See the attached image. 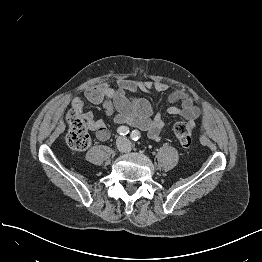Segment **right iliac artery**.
Segmentation results:
<instances>
[{"label":"right iliac artery","mask_w":262,"mask_h":262,"mask_svg":"<svg viewBox=\"0 0 262 262\" xmlns=\"http://www.w3.org/2000/svg\"><path fill=\"white\" fill-rule=\"evenodd\" d=\"M117 132L120 134V135H127L129 132H130V130H129V128L128 127H125V126H121V127H119L118 129H117Z\"/></svg>","instance_id":"obj_1"}]
</instances>
